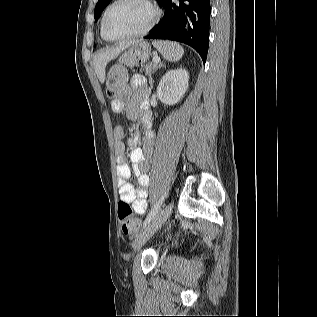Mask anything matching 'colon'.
Instances as JSON below:
<instances>
[{"label":"colon","mask_w":317,"mask_h":317,"mask_svg":"<svg viewBox=\"0 0 317 317\" xmlns=\"http://www.w3.org/2000/svg\"><path fill=\"white\" fill-rule=\"evenodd\" d=\"M106 92L113 99L120 98L128 93V72L122 64L111 66L106 80ZM118 217L121 229L125 234H132L138 230L140 222L134 217L129 203L119 202Z\"/></svg>","instance_id":"5ec220e1"}]
</instances>
